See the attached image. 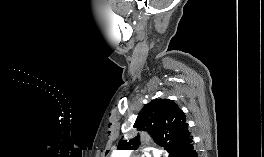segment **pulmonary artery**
Returning a JSON list of instances; mask_svg holds the SVG:
<instances>
[{
    "mask_svg": "<svg viewBox=\"0 0 264 157\" xmlns=\"http://www.w3.org/2000/svg\"><path fill=\"white\" fill-rule=\"evenodd\" d=\"M121 153H122L125 157H126V155L128 154L127 151H122Z\"/></svg>",
    "mask_w": 264,
    "mask_h": 157,
    "instance_id": "obj_1",
    "label": "pulmonary artery"
}]
</instances>
